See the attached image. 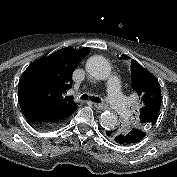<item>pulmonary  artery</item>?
<instances>
[{"mask_svg":"<svg viewBox=\"0 0 177 177\" xmlns=\"http://www.w3.org/2000/svg\"><path fill=\"white\" fill-rule=\"evenodd\" d=\"M108 100L113 109L120 115H126L128 108L121 93L120 80L113 75L107 83Z\"/></svg>","mask_w":177,"mask_h":177,"instance_id":"obj_1","label":"pulmonary artery"}]
</instances>
